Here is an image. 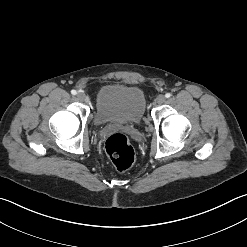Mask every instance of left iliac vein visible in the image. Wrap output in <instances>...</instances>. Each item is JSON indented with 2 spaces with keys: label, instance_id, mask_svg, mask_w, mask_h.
I'll list each match as a JSON object with an SVG mask.
<instances>
[{
  "label": "left iliac vein",
  "instance_id": "obj_1",
  "mask_svg": "<svg viewBox=\"0 0 247 247\" xmlns=\"http://www.w3.org/2000/svg\"><path fill=\"white\" fill-rule=\"evenodd\" d=\"M165 100H166V97L164 95H159L157 97V103L158 104H163L165 102Z\"/></svg>",
  "mask_w": 247,
  "mask_h": 247
}]
</instances>
